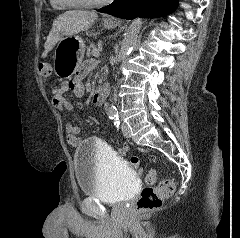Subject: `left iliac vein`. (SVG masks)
<instances>
[{
    "label": "left iliac vein",
    "mask_w": 240,
    "mask_h": 238,
    "mask_svg": "<svg viewBox=\"0 0 240 238\" xmlns=\"http://www.w3.org/2000/svg\"><path fill=\"white\" fill-rule=\"evenodd\" d=\"M122 133L126 138H129L131 136L130 128L126 123L122 124Z\"/></svg>",
    "instance_id": "1"
}]
</instances>
